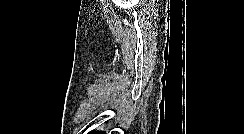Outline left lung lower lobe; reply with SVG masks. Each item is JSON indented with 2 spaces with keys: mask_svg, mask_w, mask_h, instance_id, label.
<instances>
[{
  "mask_svg": "<svg viewBox=\"0 0 244 134\" xmlns=\"http://www.w3.org/2000/svg\"><path fill=\"white\" fill-rule=\"evenodd\" d=\"M94 134H105V133H102V132H94Z\"/></svg>",
  "mask_w": 244,
  "mask_h": 134,
  "instance_id": "obj_1",
  "label": "left lung lower lobe"
}]
</instances>
